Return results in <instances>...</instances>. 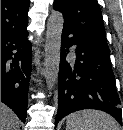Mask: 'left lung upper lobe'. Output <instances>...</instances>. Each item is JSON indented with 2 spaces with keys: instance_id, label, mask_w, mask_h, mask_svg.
Instances as JSON below:
<instances>
[{
  "instance_id": "left-lung-upper-lobe-1",
  "label": "left lung upper lobe",
  "mask_w": 123,
  "mask_h": 130,
  "mask_svg": "<svg viewBox=\"0 0 123 130\" xmlns=\"http://www.w3.org/2000/svg\"><path fill=\"white\" fill-rule=\"evenodd\" d=\"M54 9L64 17V27L84 41L109 49L97 0H55Z\"/></svg>"
}]
</instances>
